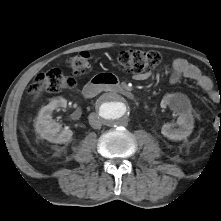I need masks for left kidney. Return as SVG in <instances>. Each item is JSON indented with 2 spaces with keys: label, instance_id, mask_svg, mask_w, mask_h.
<instances>
[{
  "label": "left kidney",
  "instance_id": "5707ae66",
  "mask_svg": "<svg viewBox=\"0 0 221 221\" xmlns=\"http://www.w3.org/2000/svg\"><path fill=\"white\" fill-rule=\"evenodd\" d=\"M162 108L169 107L178 115V128H172L171 124L166 123L162 126L161 133L164 137L173 141L186 139L193 131L194 117L189 98L182 93L165 94L161 100Z\"/></svg>",
  "mask_w": 221,
  "mask_h": 221
}]
</instances>
